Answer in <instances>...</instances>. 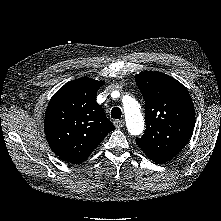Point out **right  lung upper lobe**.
I'll return each mask as SVG.
<instances>
[{"mask_svg": "<svg viewBox=\"0 0 221 221\" xmlns=\"http://www.w3.org/2000/svg\"><path fill=\"white\" fill-rule=\"evenodd\" d=\"M104 81L82 77L65 84L51 98L44 129L50 148L64 161H85L115 129L96 95Z\"/></svg>", "mask_w": 221, "mask_h": 221, "instance_id": "cb5924a9", "label": "right lung upper lobe"}]
</instances>
